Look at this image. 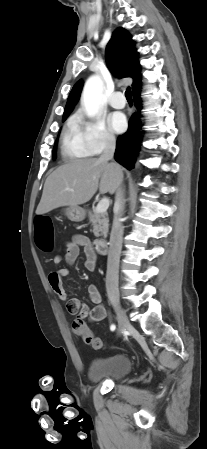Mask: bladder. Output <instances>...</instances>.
<instances>
[{
	"label": "bladder",
	"mask_w": 207,
	"mask_h": 449,
	"mask_svg": "<svg viewBox=\"0 0 207 449\" xmlns=\"http://www.w3.org/2000/svg\"><path fill=\"white\" fill-rule=\"evenodd\" d=\"M132 369V362L126 355H115L108 358L95 359L88 369V378L92 382L102 380H120Z\"/></svg>",
	"instance_id": "1"
}]
</instances>
